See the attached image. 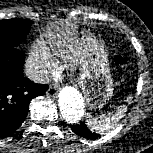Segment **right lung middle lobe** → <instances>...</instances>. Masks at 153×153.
Listing matches in <instances>:
<instances>
[{
    "label": "right lung middle lobe",
    "instance_id": "obj_1",
    "mask_svg": "<svg viewBox=\"0 0 153 153\" xmlns=\"http://www.w3.org/2000/svg\"><path fill=\"white\" fill-rule=\"evenodd\" d=\"M32 23L31 20L17 18L0 20V46L18 48Z\"/></svg>",
    "mask_w": 153,
    "mask_h": 153
}]
</instances>
